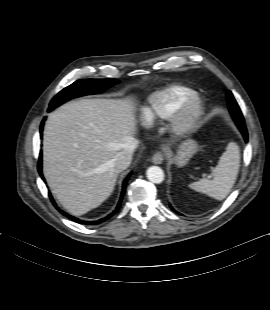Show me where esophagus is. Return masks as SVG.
<instances>
[{"label": "esophagus", "mask_w": 270, "mask_h": 310, "mask_svg": "<svg viewBox=\"0 0 270 310\" xmlns=\"http://www.w3.org/2000/svg\"><path fill=\"white\" fill-rule=\"evenodd\" d=\"M164 157V153L162 151H158L152 156V162L154 164H161L164 160Z\"/></svg>", "instance_id": "obj_1"}]
</instances>
